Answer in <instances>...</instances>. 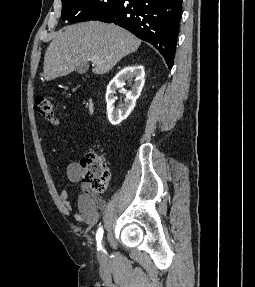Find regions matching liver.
Instances as JSON below:
<instances>
[{"mask_svg": "<svg viewBox=\"0 0 255 287\" xmlns=\"http://www.w3.org/2000/svg\"><path fill=\"white\" fill-rule=\"evenodd\" d=\"M141 40L133 34L103 22H85L66 26L55 34L44 58V80H55L74 72L80 64H87L89 58H98L93 74H106L115 64L136 52Z\"/></svg>", "mask_w": 255, "mask_h": 287, "instance_id": "liver-1", "label": "liver"}]
</instances>
